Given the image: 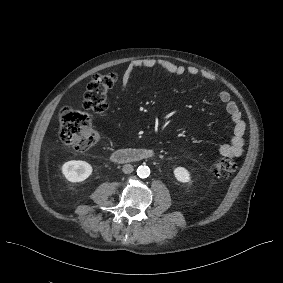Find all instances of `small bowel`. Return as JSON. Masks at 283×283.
I'll list each match as a JSON object with an SVG mask.
<instances>
[{"label": "small bowel", "mask_w": 283, "mask_h": 283, "mask_svg": "<svg viewBox=\"0 0 283 283\" xmlns=\"http://www.w3.org/2000/svg\"><path fill=\"white\" fill-rule=\"evenodd\" d=\"M156 67L166 70L167 72L174 75L189 74L191 76H201L202 78L209 81H215L214 75L205 71H200L194 66L185 67L183 65L176 64L168 59L148 57L132 60L127 65L122 75V92L126 90L130 78L136 69ZM218 97L219 100L224 104L225 109L233 123V136L230 143L221 144L218 147V152L219 154L227 158L239 157L242 154L244 147L245 122L242 119V115L237 103L232 99L229 91H220Z\"/></svg>", "instance_id": "small-bowel-1"}]
</instances>
